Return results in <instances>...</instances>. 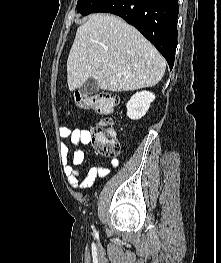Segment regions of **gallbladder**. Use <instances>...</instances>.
<instances>
[{
    "label": "gallbladder",
    "instance_id": "1",
    "mask_svg": "<svg viewBox=\"0 0 221 263\" xmlns=\"http://www.w3.org/2000/svg\"><path fill=\"white\" fill-rule=\"evenodd\" d=\"M100 87L96 79L89 78L80 88L79 91L82 95H93L98 93Z\"/></svg>",
    "mask_w": 221,
    "mask_h": 263
}]
</instances>
